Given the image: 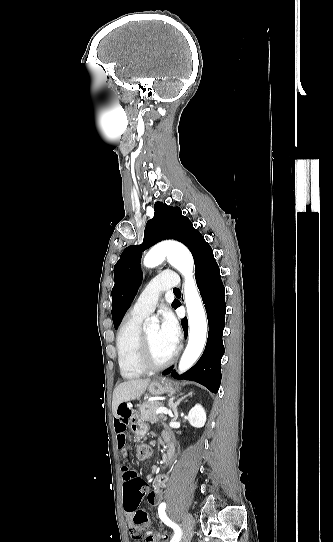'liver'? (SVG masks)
<instances>
[{
    "label": "liver",
    "instance_id": "1",
    "mask_svg": "<svg viewBox=\"0 0 333 542\" xmlns=\"http://www.w3.org/2000/svg\"><path fill=\"white\" fill-rule=\"evenodd\" d=\"M151 380L146 378V380H141V378H134V380H127V382H122L113 392L112 400V414L117 416V410L119 404L122 402H131V400H137L141 398L142 394H145Z\"/></svg>",
    "mask_w": 333,
    "mask_h": 542
}]
</instances>
